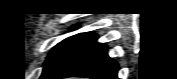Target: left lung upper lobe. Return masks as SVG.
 Instances as JSON below:
<instances>
[{"instance_id":"1","label":"left lung upper lobe","mask_w":177,"mask_h":79,"mask_svg":"<svg viewBox=\"0 0 177 79\" xmlns=\"http://www.w3.org/2000/svg\"><path fill=\"white\" fill-rule=\"evenodd\" d=\"M89 33H81L69 37L57 44L49 53L44 64L43 73L40 79H49V77L57 70L60 64L65 59L70 50Z\"/></svg>"}]
</instances>
